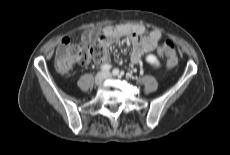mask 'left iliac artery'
Segmentation results:
<instances>
[{
  "label": "left iliac artery",
  "mask_w": 230,
  "mask_h": 155,
  "mask_svg": "<svg viewBox=\"0 0 230 155\" xmlns=\"http://www.w3.org/2000/svg\"><path fill=\"white\" fill-rule=\"evenodd\" d=\"M112 73H113V75H119V74H122V73H120V71H119V69H114L113 71H112Z\"/></svg>",
  "instance_id": "left-iliac-artery-1"
}]
</instances>
